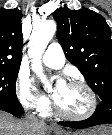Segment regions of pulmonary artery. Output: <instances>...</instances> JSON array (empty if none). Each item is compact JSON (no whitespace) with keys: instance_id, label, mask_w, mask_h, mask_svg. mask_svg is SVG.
<instances>
[{"instance_id":"pulmonary-artery-1","label":"pulmonary artery","mask_w":112,"mask_h":135,"mask_svg":"<svg viewBox=\"0 0 112 135\" xmlns=\"http://www.w3.org/2000/svg\"><path fill=\"white\" fill-rule=\"evenodd\" d=\"M42 60L43 63L50 68H61L65 63V55L61 45L57 42L50 43Z\"/></svg>"}]
</instances>
